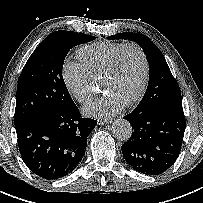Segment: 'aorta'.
<instances>
[{
  "instance_id": "762f6f07",
  "label": "aorta",
  "mask_w": 203,
  "mask_h": 203,
  "mask_svg": "<svg viewBox=\"0 0 203 203\" xmlns=\"http://www.w3.org/2000/svg\"><path fill=\"white\" fill-rule=\"evenodd\" d=\"M133 129L129 121L117 119L112 124V133L115 138L121 141H127L132 135Z\"/></svg>"
}]
</instances>
